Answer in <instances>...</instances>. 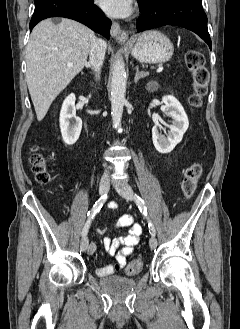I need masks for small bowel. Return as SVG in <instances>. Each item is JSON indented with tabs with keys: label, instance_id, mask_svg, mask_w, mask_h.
Returning a JSON list of instances; mask_svg holds the SVG:
<instances>
[{
	"label": "small bowel",
	"instance_id": "1",
	"mask_svg": "<svg viewBox=\"0 0 240 329\" xmlns=\"http://www.w3.org/2000/svg\"><path fill=\"white\" fill-rule=\"evenodd\" d=\"M109 208L114 210L117 208L115 202L109 204ZM116 227L125 229L126 232L123 236L116 238L104 237L102 245L104 250L115 258L113 264H109L104 267L97 268V274L101 277L111 275L113 273L121 271L126 263L127 258L134 251V247L139 243L142 235V226L134 221L132 215L125 214L118 218ZM96 244L94 242L88 243L87 253L89 255L96 251Z\"/></svg>",
	"mask_w": 240,
	"mask_h": 329
}]
</instances>
